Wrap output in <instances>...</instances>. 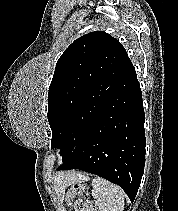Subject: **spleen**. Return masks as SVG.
I'll return each mask as SVG.
<instances>
[{"instance_id":"1","label":"spleen","mask_w":178,"mask_h":211,"mask_svg":"<svg viewBox=\"0 0 178 211\" xmlns=\"http://www.w3.org/2000/svg\"><path fill=\"white\" fill-rule=\"evenodd\" d=\"M92 196L97 211H123L125 194L115 184L96 177L92 180Z\"/></svg>"}]
</instances>
